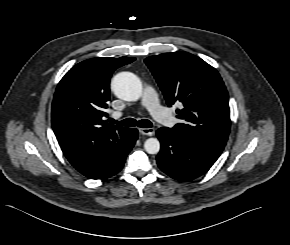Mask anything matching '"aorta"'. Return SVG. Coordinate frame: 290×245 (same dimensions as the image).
Segmentation results:
<instances>
[{"label":"aorta","mask_w":290,"mask_h":245,"mask_svg":"<svg viewBox=\"0 0 290 245\" xmlns=\"http://www.w3.org/2000/svg\"><path fill=\"white\" fill-rule=\"evenodd\" d=\"M114 94L125 101H137L142 95V83L140 79L130 72H121L112 80ZM144 149L149 154H157L160 151V142L157 138H148L144 143Z\"/></svg>","instance_id":"aorta-1"}]
</instances>
